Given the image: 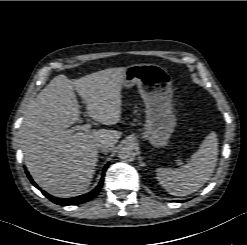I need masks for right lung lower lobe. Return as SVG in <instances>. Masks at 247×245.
Returning a JSON list of instances; mask_svg holds the SVG:
<instances>
[{"mask_svg": "<svg viewBox=\"0 0 247 245\" xmlns=\"http://www.w3.org/2000/svg\"><path fill=\"white\" fill-rule=\"evenodd\" d=\"M108 168V164L104 167L103 169V173H102V177H101V180L98 184V186L91 192L87 193V194H83V195H80V196H77V197H74V198H66V199H61V198H56V197H53L49 194H47L45 191H42V193L48 198L50 199L52 202L58 204V205H62V206H68V205H77V204H80V203H84V202H87L91 199H93L97 194L98 192L100 191L102 185H103V181H104V176H105V171L107 170ZM26 174L28 176V178L30 179V181L32 182V184L37 187L38 189H40L36 184L35 182L32 180L31 176L29 175L28 171H26Z\"/></svg>", "mask_w": 247, "mask_h": 245, "instance_id": "obj_1", "label": "right lung lower lobe"}]
</instances>
